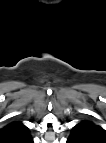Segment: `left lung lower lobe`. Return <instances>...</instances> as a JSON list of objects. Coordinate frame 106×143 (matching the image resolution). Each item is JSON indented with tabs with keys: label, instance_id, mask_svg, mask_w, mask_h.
I'll return each instance as SVG.
<instances>
[{
	"label": "left lung lower lobe",
	"instance_id": "0a47b994",
	"mask_svg": "<svg viewBox=\"0 0 106 143\" xmlns=\"http://www.w3.org/2000/svg\"><path fill=\"white\" fill-rule=\"evenodd\" d=\"M66 143H81V141L77 137L70 135Z\"/></svg>",
	"mask_w": 106,
	"mask_h": 143
}]
</instances>
